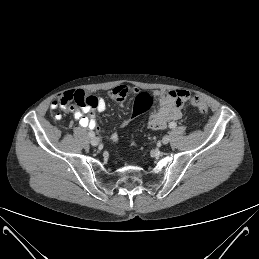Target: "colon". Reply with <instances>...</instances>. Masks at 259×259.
<instances>
[{"label":"colon","instance_id":"5ec220e1","mask_svg":"<svg viewBox=\"0 0 259 259\" xmlns=\"http://www.w3.org/2000/svg\"><path fill=\"white\" fill-rule=\"evenodd\" d=\"M190 102L200 114L205 115L208 112V107L206 103L200 97H193L191 98ZM152 105L153 98L149 94H139L134 101L132 115L128 119L124 120L122 125H128L133 118L148 111L152 107Z\"/></svg>","mask_w":259,"mask_h":259}]
</instances>
